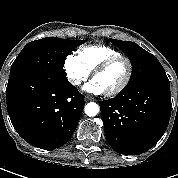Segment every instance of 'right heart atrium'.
I'll return each mask as SVG.
<instances>
[{
	"label": "right heart atrium",
	"instance_id": "d8ad5b80",
	"mask_svg": "<svg viewBox=\"0 0 178 178\" xmlns=\"http://www.w3.org/2000/svg\"><path fill=\"white\" fill-rule=\"evenodd\" d=\"M64 71L68 81L76 87L86 82L90 72L79 59L78 55H69L64 62Z\"/></svg>",
	"mask_w": 178,
	"mask_h": 178
}]
</instances>
